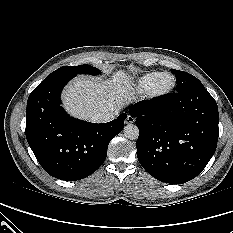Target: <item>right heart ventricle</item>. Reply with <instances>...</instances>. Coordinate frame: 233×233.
I'll return each instance as SVG.
<instances>
[{
	"mask_svg": "<svg viewBox=\"0 0 233 233\" xmlns=\"http://www.w3.org/2000/svg\"><path fill=\"white\" fill-rule=\"evenodd\" d=\"M160 73L159 71H150L140 76L134 84L135 90L138 93H146Z\"/></svg>",
	"mask_w": 233,
	"mask_h": 233,
	"instance_id": "right-heart-ventricle-1",
	"label": "right heart ventricle"
}]
</instances>
